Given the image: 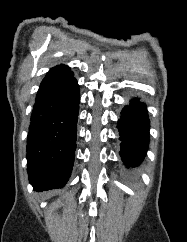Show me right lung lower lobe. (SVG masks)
Masks as SVG:
<instances>
[{"instance_id":"1","label":"right lung lower lobe","mask_w":187,"mask_h":242,"mask_svg":"<svg viewBox=\"0 0 187 242\" xmlns=\"http://www.w3.org/2000/svg\"><path fill=\"white\" fill-rule=\"evenodd\" d=\"M69 77L40 86L27 138V172L34 191L67 183L75 157L80 90Z\"/></svg>"}]
</instances>
